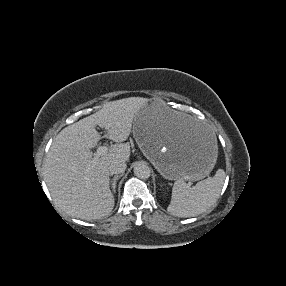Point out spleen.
Segmentation results:
<instances>
[{
  "label": "spleen",
  "mask_w": 286,
  "mask_h": 286,
  "mask_svg": "<svg viewBox=\"0 0 286 286\" xmlns=\"http://www.w3.org/2000/svg\"><path fill=\"white\" fill-rule=\"evenodd\" d=\"M224 180L223 169H219L213 177L198 182L194 187H190L183 180H177L173 185L168 212L178 217H192L205 212L217 201Z\"/></svg>",
  "instance_id": "3e777b00"
}]
</instances>
